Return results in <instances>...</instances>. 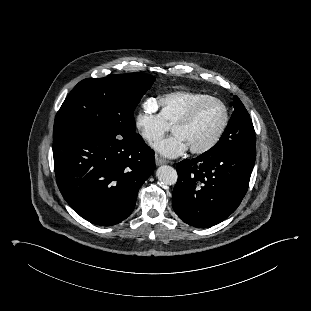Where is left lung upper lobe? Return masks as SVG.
Wrapping results in <instances>:
<instances>
[{
    "label": "left lung upper lobe",
    "mask_w": 311,
    "mask_h": 311,
    "mask_svg": "<svg viewBox=\"0 0 311 311\" xmlns=\"http://www.w3.org/2000/svg\"><path fill=\"white\" fill-rule=\"evenodd\" d=\"M234 112L223 135L207 153H217L239 146L255 147V131L248 111L237 96H234Z\"/></svg>",
    "instance_id": "left-lung-upper-lobe-1"
}]
</instances>
